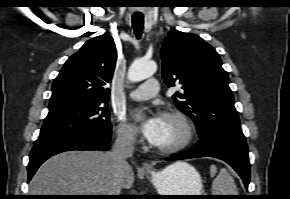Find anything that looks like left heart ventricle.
Returning <instances> with one entry per match:
<instances>
[{
	"mask_svg": "<svg viewBox=\"0 0 290 199\" xmlns=\"http://www.w3.org/2000/svg\"><path fill=\"white\" fill-rule=\"evenodd\" d=\"M185 130L181 123L174 118L162 116L158 138L154 145L172 147L184 139Z\"/></svg>",
	"mask_w": 290,
	"mask_h": 199,
	"instance_id": "1",
	"label": "left heart ventricle"
}]
</instances>
